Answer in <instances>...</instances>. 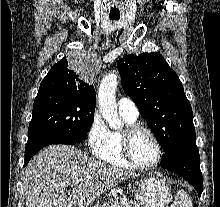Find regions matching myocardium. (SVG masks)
Returning <instances> with one entry per match:
<instances>
[{
  "instance_id": "f54148a6",
  "label": "myocardium",
  "mask_w": 220,
  "mask_h": 207,
  "mask_svg": "<svg viewBox=\"0 0 220 207\" xmlns=\"http://www.w3.org/2000/svg\"><path fill=\"white\" fill-rule=\"evenodd\" d=\"M139 131H144L150 135V137L153 139L156 148H157V159L155 162L143 165L137 162L132 154L131 150V141L132 137ZM121 148L122 153L125 159L135 168L141 169V170H150L158 166L162 160L163 157V150L161 143L157 137V135L154 133L152 129H150L147 126L141 125V124H129L125 127V129L121 132Z\"/></svg>"
}]
</instances>
